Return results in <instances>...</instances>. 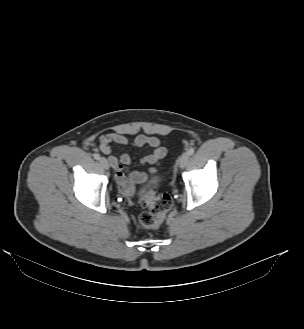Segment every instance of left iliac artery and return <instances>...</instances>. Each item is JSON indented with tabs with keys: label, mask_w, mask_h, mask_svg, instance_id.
<instances>
[{
	"label": "left iliac artery",
	"mask_w": 304,
	"mask_h": 329,
	"mask_svg": "<svg viewBox=\"0 0 304 329\" xmlns=\"http://www.w3.org/2000/svg\"><path fill=\"white\" fill-rule=\"evenodd\" d=\"M194 152H195L194 148H190V149L188 150V154H189V155H193Z\"/></svg>",
	"instance_id": "obj_1"
}]
</instances>
